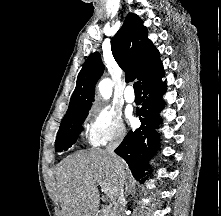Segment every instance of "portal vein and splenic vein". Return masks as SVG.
Wrapping results in <instances>:
<instances>
[{
    "label": "portal vein and splenic vein",
    "mask_w": 221,
    "mask_h": 216,
    "mask_svg": "<svg viewBox=\"0 0 221 216\" xmlns=\"http://www.w3.org/2000/svg\"><path fill=\"white\" fill-rule=\"evenodd\" d=\"M102 191H104V193L108 196V198L113 199V192L111 190L108 189H102Z\"/></svg>",
    "instance_id": "1"
}]
</instances>
